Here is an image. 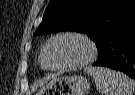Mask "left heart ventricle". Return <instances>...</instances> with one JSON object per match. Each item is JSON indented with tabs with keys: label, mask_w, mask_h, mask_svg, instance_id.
I'll return each mask as SVG.
<instances>
[{
	"label": "left heart ventricle",
	"mask_w": 135,
	"mask_h": 95,
	"mask_svg": "<svg viewBox=\"0 0 135 95\" xmlns=\"http://www.w3.org/2000/svg\"><path fill=\"white\" fill-rule=\"evenodd\" d=\"M87 55L88 48L82 40L66 37L54 42L49 53V61L53 66H70L84 60Z\"/></svg>",
	"instance_id": "1"
}]
</instances>
